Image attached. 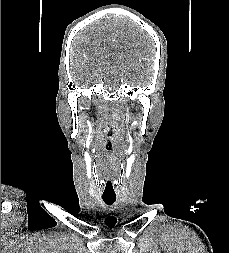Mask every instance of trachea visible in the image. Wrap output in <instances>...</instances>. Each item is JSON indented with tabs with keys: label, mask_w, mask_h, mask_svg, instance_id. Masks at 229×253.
Wrapping results in <instances>:
<instances>
[{
	"label": "trachea",
	"mask_w": 229,
	"mask_h": 253,
	"mask_svg": "<svg viewBox=\"0 0 229 253\" xmlns=\"http://www.w3.org/2000/svg\"><path fill=\"white\" fill-rule=\"evenodd\" d=\"M103 201H104L107 205H112V204H114V202L116 201V197H103Z\"/></svg>",
	"instance_id": "3493384b"
}]
</instances>
